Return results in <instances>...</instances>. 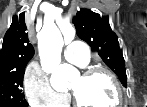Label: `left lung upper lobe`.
Instances as JSON below:
<instances>
[{"mask_svg": "<svg viewBox=\"0 0 147 107\" xmlns=\"http://www.w3.org/2000/svg\"><path fill=\"white\" fill-rule=\"evenodd\" d=\"M73 24L78 37L99 54L105 64L119 77L123 86L127 87L125 61L118 37L109 25V19L100 17L98 13L89 9H80L73 19Z\"/></svg>", "mask_w": 147, "mask_h": 107, "instance_id": "obj_1", "label": "left lung upper lobe"}]
</instances>
